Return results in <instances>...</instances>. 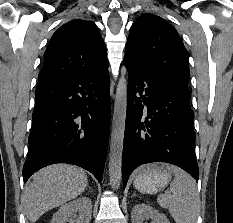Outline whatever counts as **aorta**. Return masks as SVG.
<instances>
[{"label":"aorta","instance_id":"aorta-1","mask_svg":"<svg viewBox=\"0 0 233 223\" xmlns=\"http://www.w3.org/2000/svg\"><path fill=\"white\" fill-rule=\"evenodd\" d=\"M126 112L127 80L126 78H120L116 88L109 153V179L110 185H112L114 189H118L121 183Z\"/></svg>","mask_w":233,"mask_h":223}]
</instances>
